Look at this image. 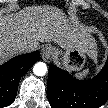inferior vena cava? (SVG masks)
Here are the masks:
<instances>
[{
  "label": "inferior vena cava",
  "instance_id": "inferior-vena-cava-1",
  "mask_svg": "<svg viewBox=\"0 0 108 108\" xmlns=\"http://www.w3.org/2000/svg\"><path fill=\"white\" fill-rule=\"evenodd\" d=\"M22 52H31L32 48L29 45H24L20 47Z\"/></svg>",
  "mask_w": 108,
  "mask_h": 108
}]
</instances>
